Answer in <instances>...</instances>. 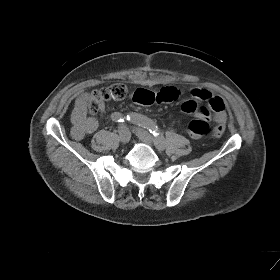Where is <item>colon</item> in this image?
<instances>
[{
  "label": "colon",
  "mask_w": 280,
  "mask_h": 280,
  "mask_svg": "<svg viewBox=\"0 0 280 280\" xmlns=\"http://www.w3.org/2000/svg\"><path fill=\"white\" fill-rule=\"evenodd\" d=\"M127 94V88L122 83H114L90 94H84L79 99L90 112H96L99 104L107 100H121ZM224 129L212 127L208 121L202 119L192 120L188 125V132L196 137H206L211 134L220 135Z\"/></svg>",
  "instance_id": "5ec220e1"
}]
</instances>
